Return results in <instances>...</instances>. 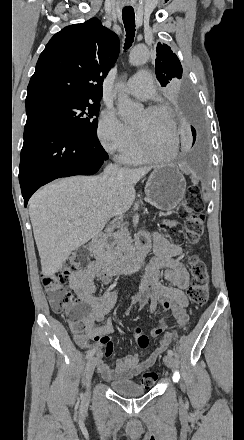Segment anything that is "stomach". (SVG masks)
<instances>
[{
	"instance_id": "1",
	"label": "stomach",
	"mask_w": 244,
	"mask_h": 440,
	"mask_svg": "<svg viewBox=\"0 0 244 440\" xmlns=\"http://www.w3.org/2000/svg\"><path fill=\"white\" fill-rule=\"evenodd\" d=\"M144 192L151 206L169 212L182 202L186 192V180L175 164L158 166L150 174Z\"/></svg>"
}]
</instances>
